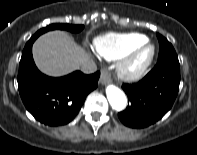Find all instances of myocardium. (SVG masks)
I'll return each mask as SVG.
<instances>
[{
    "label": "myocardium",
    "mask_w": 197,
    "mask_h": 155,
    "mask_svg": "<svg viewBox=\"0 0 197 155\" xmlns=\"http://www.w3.org/2000/svg\"><path fill=\"white\" fill-rule=\"evenodd\" d=\"M144 52H146L145 58L138 62V58ZM154 57L155 46L146 40L122 56L118 64V74L127 80L138 79L149 69Z\"/></svg>",
    "instance_id": "1"
}]
</instances>
